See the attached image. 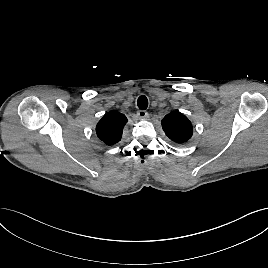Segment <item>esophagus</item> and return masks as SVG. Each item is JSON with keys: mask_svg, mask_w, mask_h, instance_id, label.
I'll use <instances>...</instances> for the list:
<instances>
[{"mask_svg": "<svg viewBox=\"0 0 268 268\" xmlns=\"http://www.w3.org/2000/svg\"><path fill=\"white\" fill-rule=\"evenodd\" d=\"M147 112L145 110H139L137 112V116L140 118V119H145L147 117Z\"/></svg>", "mask_w": 268, "mask_h": 268, "instance_id": "34e87169", "label": "esophagus"}]
</instances>
